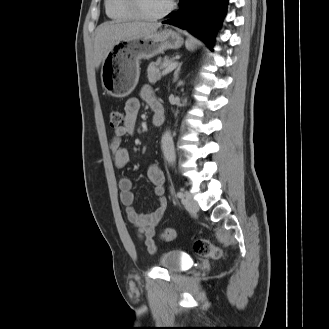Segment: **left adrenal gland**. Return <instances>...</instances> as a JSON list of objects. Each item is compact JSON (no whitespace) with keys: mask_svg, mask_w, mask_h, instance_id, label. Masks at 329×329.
<instances>
[{"mask_svg":"<svg viewBox=\"0 0 329 329\" xmlns=\"http://www.w3.org/2000/svg\"><path fill=\"white\" fill-rule=\"evenodd\" d=\"M181 66H182V62L178 64V66H177V68H176V70L174 72V81H177V79H178Z\"/></svg>","mask_w":329,"mask_h":329,"instance_id":"obj_1","label":"left adrenal gland"}]
</instances>
